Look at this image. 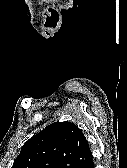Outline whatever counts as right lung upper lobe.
I'll return each instance as SVG.
<instances>
[{"label": "right lung upper lobe", "instance_id": "right-lung-upper-lobe-1", "mask_svg": "<svg viewBox=\"0 0 127 168\" xmlns=\"http://www.w3.org/2000/svg\"><path fill=\"white\" fill-rule=\"evenodd\" d=\"M90 158L82 131L74 123L56 122L23 145L12 168H75Z\"/></svg>", "mask_w": 127, "mask_h": 168}]
</instances>
